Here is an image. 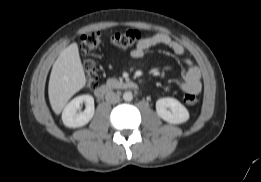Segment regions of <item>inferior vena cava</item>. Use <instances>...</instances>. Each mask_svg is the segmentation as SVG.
<instances>
[{
  "label": "inferior vena cava",
  "instance_id": "602c4592",
  "mask_svg": "<svg viewBox=\"0 0 261 182\" xmlns=\"http://www.w3.org/2000/svg\"><path fill=\"white\" fill-rule=\"evenodd\" d=\"M105 99L107 102L111 103V104H115L118 103L120 101V97L118 94H116L115 92L109 91L106 93L105 95Z\"/></svg>",
  "mask_w": 261,
  "mask_h": 182
}]
</instances>
